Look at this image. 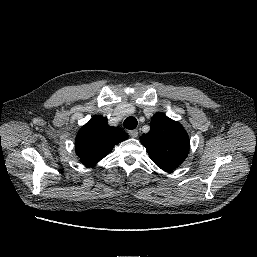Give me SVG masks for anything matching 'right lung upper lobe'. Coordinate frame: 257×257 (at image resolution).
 <instances>
[{
  "instance_id": "cb5924a9",
  "label": "right lung upper lobe",
  "mask_w": 257,
  "mask_h": 257,
  "mask_svg": "<svg viewBox=\"0 0 257 257\" xmlns=\"http://www.w3.org/2000/svg\"><path fill=\"white\" fill-rule=\"evenodd\" d=\"M127 138L128 135L120 128L110 127L107 118L94 116L77 134L76 153L83 164L94 165Z\"/></svg>"
}]
</instances>
